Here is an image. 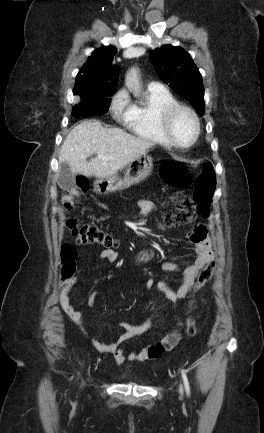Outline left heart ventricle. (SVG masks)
Segmentation results:
<instances>
[{"instance_id": "obj_1", "label": "left heart ventricle", "mask_w": 264, "mask_h": 433, "mask_svg": "<svg viewBox=\"0 0 264 433\" xmlns=\"http://www.w3.org/2000/svg\"><path fill=\"white\" fill-rule=\"evenodd\" d=\"M171 131L179 143H189L195 134V124L192 117L186 112H179L172 121Z\"/></svg>"}]
</instances>
